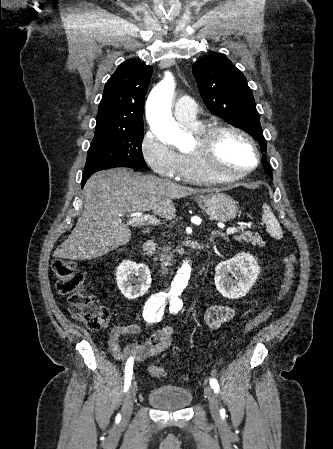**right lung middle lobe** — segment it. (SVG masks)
I'll list each match as a JSON object with an SVG mask.
<instances>
[{"mask_svg":"<svg viewBox=\"0 0 333 449\" xmlns=\"http://www.w3.org/2000/svg\"><path fill=\"white\" fill-rule=\"evenodd\" d=\"M143 127L134 131H97L88 150L85 172L113 167H147L141 150Z\"/></svg>","mask_w":333,"mask_h":449,"instance_id":"dd1d6c3e","label":"right lung middle lobe"}]
</instances>
